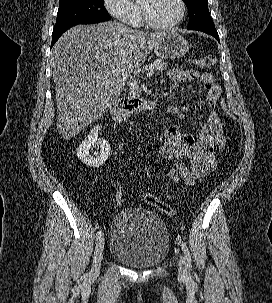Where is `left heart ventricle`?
Listing matches in <instances>:
<instances>
[{"label":"left heart ventricle","instance_id":"left-heart-ventricle-1","mask_svg":"<svg viewBox=\"0 0 272 303\" xmlns=\"http://www.w3.org/2000/svg\"><path fill=\"white\" fill-rule=\"evenodd\" d=\"M152 19L161 25H167L177 19L180 13L178 0H147Z\"/></svg>","mask_w":272,"mask_h":303}]
</instances>
